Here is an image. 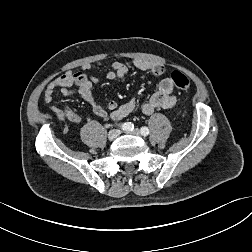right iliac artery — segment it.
<instances>
[{
  "label": "right iliac artery",
  "instance_id": "obj_1",
  "mask_svg": "<svg viewBox=\"0 0 252 252\" xmlns=\"http://www.w3.org/2000/svg\"><path fill=\"white\" fill-rule=\"evenodd\" d=\"M119 127L123 131H132L134 129V125L130 122H125V123H122L121 125L119 124Z\"/></svg>",
  "mask_w": 252,
  "mask_h": 252
}]
</instances>
